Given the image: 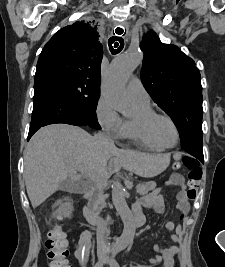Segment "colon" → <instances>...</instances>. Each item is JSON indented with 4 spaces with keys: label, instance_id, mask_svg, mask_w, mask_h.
Here are the masks:
<instances>
[{
    "label": "colon",
    "instance_id": "5ec220e1",
    "mask_svg": "<svg viewBox=\"0 0 225 267\" xmlns=\"http://www.w3.org/2000/svg\"><path fill=\"white\" fill-rule=\"evenodd\" d=\"M175 168L184 166L188 169V190L187 196L193 200L197 196L198 188L202 182L203 171L199 162L187 155L176 153L174 155ZM185 214L180 215V220H183ZM46 248L48 250L47 257L51 260L50 267H70L68 263L69 251L67 249L66 234L63 229L55 225L47 235Z\"/></svg>",
    "mask_w": 225,
    "mask_h": 267
}]
</instances>
